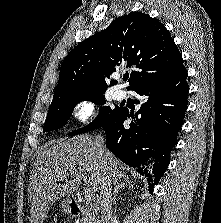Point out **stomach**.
<instances>
[{
	"label": "stomach",
	"instance_id": "obj_1",
	"mask_svg": "<svg viewBox=\"0 0 221 223\" xmlns=\"http://www.w3.org/2000/svg\"><path fill=\"white\" fill-rule=\"evenodd\" d=\"M62 209H63L64 212H67V213L70 212L71 208H70V201H69V199L63 200V202H62Z\"/></svg>",
	"mask_w": 221,
	"mask_h": 223
}]
</instances>
